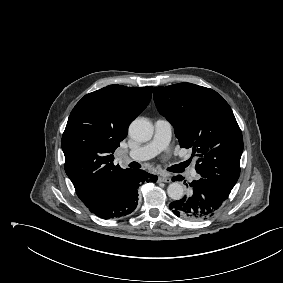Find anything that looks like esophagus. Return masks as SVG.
<instances>
[{"label":"esophagus","instance_id":"1","mask_svg":"<svg viewBox=\"0 0 283 283\" xmlns=\"http://www.w3.org/2000/svg\"><path fill=\"white\" fill-rule=\"evenodd\" d=\"M159 181L165 182V183H170L171 182V178L166 176V175H160L159 176Z\"/></svg>","mask_w":283,"mask_h":283}]
</instances>
